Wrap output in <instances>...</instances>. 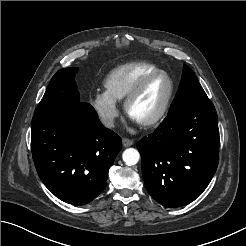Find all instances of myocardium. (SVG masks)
Listing matches in <instances>:
<instances>
[{"label": "myocardium", "instance_id": "f54148a6", "mask_svg": "<svg viewBox=\"0 0 246 246\" xmlns=\"http://www.w3.org/2000/svg\"><path fill=\"white\" fill-rule=\"evenodd\" d=\"M159 76H165L168 79L170 83V91L159 113L148 121L138 123L143 128H152L158 125L159 123H161L164 120V118L167 116L175 95V83L173 78L170 76L169 73H167L164 70H159L149 73L137 82V84L133 87V89L129 92V94L124 99V110L126 114L130 117L129 112L132 103L141 94V92L148 85V83Z\"/></svg>", "mask_w": 246, "mask_h": 246}]
</instances>
